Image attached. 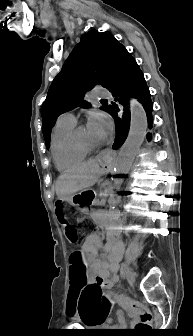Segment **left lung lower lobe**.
<instances>
[{
  "mask_svg": "<svg viewBox=\"0 0 193 336\" xmlns=\"http://www.w3.org/2000/svg\"><path fill=\"white\" fill-rule=\"evenodd\" d=\"M107 89L112 92L115 101H118L124 107L122 116H118L115 112L112 113L116 125V137L113 149L117 150L126 140L130 127V111L128 106L130 96L137 98L142 104L147 115L149 127L153 121V104L151 102L150 91L137 62L126 49H123L120 53L114 78ZM113 110L114 108L110 106V111ZM147 138L150 140L149 135H147Z\"/></svg>",
  "mask_w": 193,
  "mask_h": 336,
  "instance_id": "left-lung-lower-lobe-1",
  "label": "left lung lower lobe"
}]
</instances>
